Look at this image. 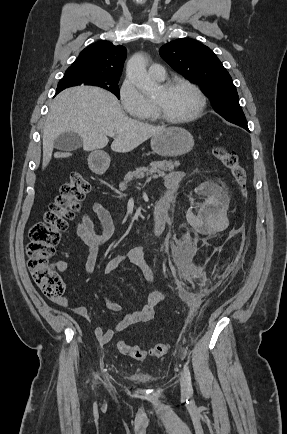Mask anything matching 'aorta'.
<instances>
[{"label": "aorta", "instance_id": "obj_1", "mask_svg": "<svg viewBox=\"0 0 287 434\" xmlns=\"http://www.w3.org/2000/svg\"><path fill=\"white\" fill-rule=\"evenodd\" d=\"M126 74L138 89L144 93L152 92L156 86L147 74L146 60L140 53L134 54L128 61Z\"/></svg>", "mask_w": 287, "mask_h": 434}]
</instances>
